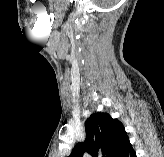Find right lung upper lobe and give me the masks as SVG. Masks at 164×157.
Here are the masks:
<instances>
[{"label":"right lung upper lobe","mask_w":164,"mask_h":157,"mask_svg":"<svg viewBox=\"0 0 164 157\" xmlns=\"http://www.w3.org/2000/svg\"><path fill=\"white\" fill-rule=\"evenodd\" d=\"M85 130V141L77 143L68 157H83L85 151L92 157H117L129 140L123 124L108 113L92 114Z\"/></svg>","instance_id":"cb5924a9"}]
</instances>
